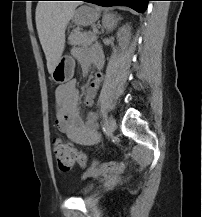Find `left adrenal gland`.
<instances>
[{"instance_id": "left-adrenal-gland-1", "label": "left adrenal gland", "mask_w": 202, "mask_h": 217, "mask_svg": "<svg viewBox=\"0 0 202 217\" xmlns=\"http://www.w3.org/2000/svg\"><path fill=\"white\" fill-rule=\"evenodd\" d=\"M118 20H121V17H120V16L116 19V21H118ZM112 29H113L112 27H109L108 30H107V32H109V31L112 30Z\"/></svg>"}]
</instances>
